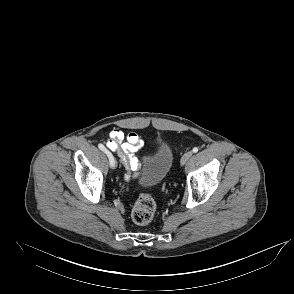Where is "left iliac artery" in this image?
I'll use <instances>...</instances> for the list:
<instances>
[{
  "label": "left iliac artery",
  "mask_w": 294,
  "mask_h": 294,
  "mask_svg": "<svg viewBox=\"0 0 294 294\" xmlns=\"http://www.w3.org/2000/svg\"><path fill=\"white\" fill-rule=\"evenodd\" d=\"M194 153L198 152V148L197 147H194L193 150H192Z\"/></svg>",
  "instance_id": "1"
}]
</instances>
